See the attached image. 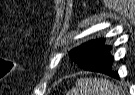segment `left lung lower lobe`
Here are the masks:
<instances>
[{
	"label": "left lung lower lobe",
	"mask_w": 135,
	"mask_h": 95,
	"mask_svg": "<svg viewBox=\"0 0 135 95\" xmlns=\"http://www.w3.org/2000/svg\"><path fill=\"white\" fill-rule=\"evenodd\" d=\"M111 47L104 45V41L88 57L83 64L82 69L94 72H100L119 79L116 71L112 70L113 57L110 55Z\"/></svg>",
	"instance_id": "obj_1"
}]
</instances>
